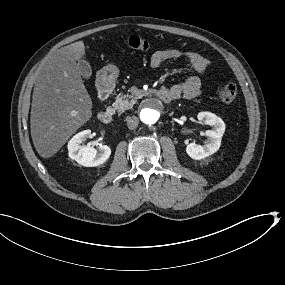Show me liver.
Returning <instances> with one entry per match:
<instances>
[{
	"instance_id": "6515ba94",
	"label": "liver",
	"mask_w": 285,
	"mask_h": 285,
	"mask_svg": "<svg viewBox=\"0 0 285 285\" xmlns=\"http://www.w3.org/2000/svg\"><path fill=\"white\" fill-rule=\"evenodd\" d=\"M84 55L83 41L57 50L35 84L30 128L34 147L43 158L55 155L92 117V99L76 63Z\"/></svg>"
}]
</instances>
